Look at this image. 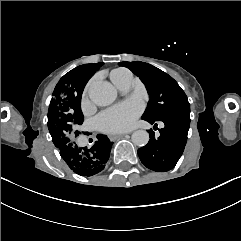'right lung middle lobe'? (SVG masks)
<instances>
[{"instance_id":"1","label":"right lung middle lobe","mask_w":241,"mask_h":241,"mask_svg":"<svg viewBox=\"0 0 241 241\" xmlns=\"http://www.w3.org/2000/svg\"><path fill=\"white\" fill-rule=\"evenodd\" d=\"M103 63L84 64L65 74L57 83L48 110V129L59 149L74 145L83 123L81 96L88 80Z\"/></svg>"}]
</instances>
